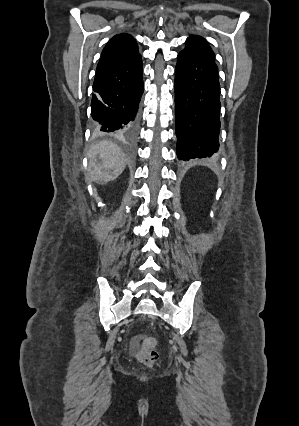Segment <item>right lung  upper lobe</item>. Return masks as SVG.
I'll return each mask as SVG.
<instances>
[{
  "label": "right lung upper lobe",
  "instance_id": "1",
  "mask_svg": "<svg viewBox=\"0 0 299 426\" xmlns=\"http://www.w3.org/2000/svg\"><path fill=\"white\" fill-rule=\"evenodd\" d=\"M137 56H139V53L135 39L129 34H118L114 36L103 49L97 67L109 63L130 60Z\"/></svg>",
  "mask_w": 299,
  "mask_h": 426
}]
</instances>
